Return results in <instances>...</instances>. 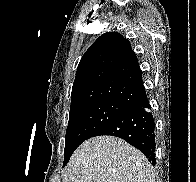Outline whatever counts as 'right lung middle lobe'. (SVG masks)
I'll use <instances>...</instances> for the list:
<instances>
[{
	"instance_id": "right-lung-middle-lobe-1",
	"label": "right lung middle lobe",
	"mask_w": 196,
	"mask_h": 182,
	"mask_svg": "<svg viewBox=\"0 0 196 182\" xmlns=\"http://www.w3.org/2000/svg\"><path fill=\"white\" fill-rule=\"evenodd\" d=\"M130 108L132 105L101 100L70 110L63 166L68 163L72 153L82 142L93 137L99 129Z\"/></svg>"
}]
</instances>
